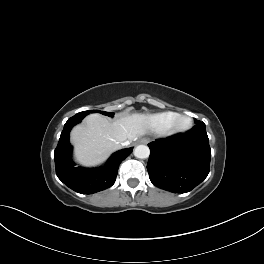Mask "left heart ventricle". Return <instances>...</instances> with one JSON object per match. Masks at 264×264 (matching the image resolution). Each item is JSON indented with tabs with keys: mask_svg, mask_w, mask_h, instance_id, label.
<instances>
[{
	"mask_svg": "<svg viewBox=\"0 0 264 264\" xmlns=\"http://www.w3.org/2000/svg\"><path fill=\"white\" fill-rule=\"evenodd\" d=\"M180 123H181V124H184V123H185V121H184V120H181V121H180Z\"/></svg>",
	"mask_w": 264,
	"mask_h": 264,
	"instance_id": "left-heart-ventricle-1",
	"label": "left heart ventricle"
}]
</instances>
